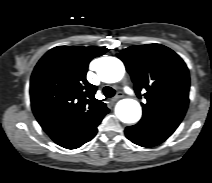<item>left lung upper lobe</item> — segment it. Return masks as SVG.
I'll return each instance as SVG.
<instances>
[{
  "label": "left lung upper lobe",
  "instance_id": "1",
  "mask_svg": "<svg viewBox=\"0 0 212 183\" xmlns=\"http://www.w3.org/2000/svg\"><path fill=\"white\" fill-rule=\"evenodd\" d=\"M117 57L131 75L137 96L145 92L142 119L177 128L189 103L190 79L184 61L160 44L132 46Z\"/></svg>",
  "mask_w": 212,
  "mask_h": 183
}]
</instances>
